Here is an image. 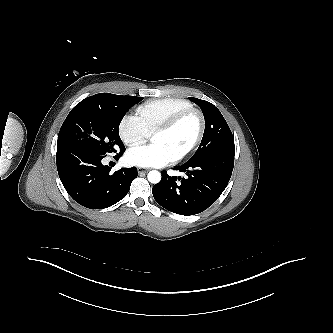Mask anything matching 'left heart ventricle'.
Returning a JSON list of instances; mask_svg holds the SVG:
<instances>
[{
    "instance_id": "1",
    "label": "left heart ventricle",
    "mask_w": 333,
    "mask_h": 333,
    "mask_svg": "<svg viewBox=\"0 0 333 333\" xmlns=\"http://www.w3.org/2000/svg\"><path fill=\"white\" fill-rule=\"evenodd\" d=\"M198 129V120L190 116L168 132L153 135L152 142L165 147L171 158L183 152L193 142Z\"/></svg>"
}]
</instances>
